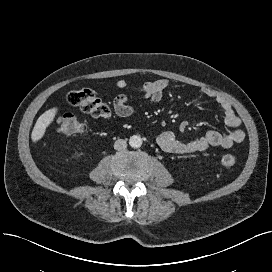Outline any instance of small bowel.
I'll use <instances>...</instances> for the list:
<instances>
[{"mask_svg":"<svg viewBox=\"0 0 272 272\" xmlns=\"http://www.w3.org/2000/svg\"><path fill=\"white\" fill-rule=\"evenodd\" d=\"M171 85L168 79H159L155 81L144 82L137 86V90L141 96L152 102H159L164 94L166 88ZM116 86L120 89L130 87L126 80H118ZM202 94L208 98L213 99L220 107L223 113V120L229 131L221 133L219 131L210 130L204 135L193 140L185 141L179 139L173 132H161L157 136L158 145L166 152L173 154H187L207 150L211 147L230 148L234 144L240 143L244 140L245 134L241 129L242 120L235 113L231 103L216 91L205 88ZM128 94H119L113 102L114 110L117 116L127 118L133 115L134 107L129 104Z\"/></svg>","mask_w":272,"mask_h":272,"instance_id":"c3829d8e","label":"small bowel"}]
</instances>
